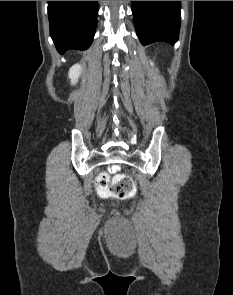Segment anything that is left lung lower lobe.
Segmentation results:
<instances>
[{
	"label": "left lung lower lobe",
	"mask_w": 233,
	"mask_h": 295,
	"mask_svg": "<svg viewBox=\"0 0 233 295\" xmlns=\"http://www.w3.org/2000/svg\"><path fill=\"white\" fill-rule=\"evenodd\" d=\"M137 36L143 45L179 37L181 1H131Z\"/></svg>",
	"instance_id": "0a47b994"
}]
</instances>
